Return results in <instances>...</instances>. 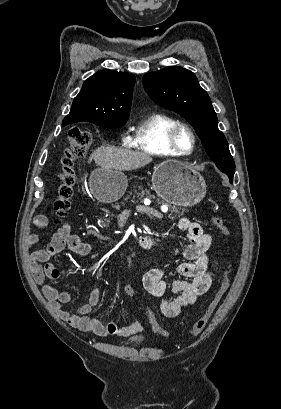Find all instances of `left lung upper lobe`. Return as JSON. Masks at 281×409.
<instances>
[{"instance_id": "left-lung-upper-lobe-1", "label": "left lung upper lobe", "mask_w": 281, "mask_h": 409, "mask_svg": "<svg viewBox=\"0 0 281 409\" xmlns=\"http://www.w3.org/2000/svg\"><path fill=\"white\" fill-rule=\"evenodd\" d=\"M143 86L155 103L188 120L218 169L234 174L235 164L227 140L218 129L211 100L193 72L182 67H166L145 74Z\"/></svg>"}]
</instances>
